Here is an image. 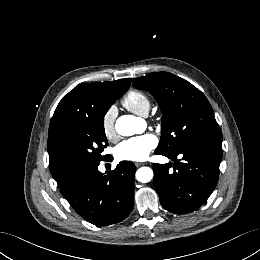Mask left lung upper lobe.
<instances>
[{
  "label": "left lung upper lobe",
  "instance_id": "5c2ea615",
  "mask_svg": "<svg viewBox=\"0 0 260 260\" xmlns=\"http://www.w3.org/2000/svg\"><path fill=\"white\" fill-rule=\"evenodd\" d=\"M138 89L150 92L162 111L161 139L156 151L175 152L195 143L222 142L221 130L204 94L168 72L136 78Z\"/></svg>",
  "mask_w": 260,
  "mask_h": 260
}]
</instances>
